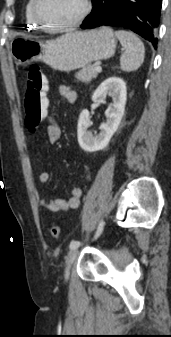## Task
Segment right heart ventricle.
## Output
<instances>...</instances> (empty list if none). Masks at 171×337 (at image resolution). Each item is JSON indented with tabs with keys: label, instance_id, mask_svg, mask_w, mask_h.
I'll return each instance as SVG.
<instances>
[{
	"label": "right heart ventricle",
	"instance_id": "right-heart-ventricle-1",
	"mask_svg": "<svg viewBox=\"0 0 171 337\" xmlns=\"http://www.w3.org/2000/svg\"><path fill=\"white\" fill-rule=\"evenodd\" d=\"M34 0H27L24 9L25 23L28 29H41L33 14Z\"/></svg>",
	"mask_w": 171,
	"mask_h": 337
}]
</instances>
